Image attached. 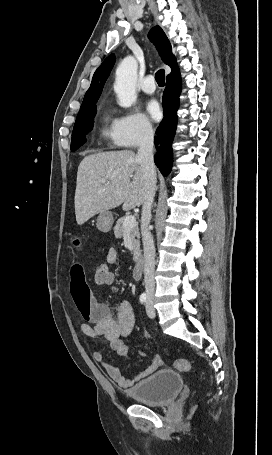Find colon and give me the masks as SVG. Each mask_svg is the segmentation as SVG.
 Masks as SVG:
<instances>
[{
	"label": "colon",
	"mask_w": 272,
	"mask_h": 455,
	"mask_svg": "<svg viewBox=\"0 0 272 455\" xmlns=\"http://www.w3.org/2000/svg\"><path fill=\"white\" fill-rule=\"evenodd\" d=\"M93 282L97 286L108 285L113 279L114 274L110 270L109 263L106 258L96 263L92 268ZM177 370L188 372L191 370V363L185 359H177L174 363Z\"/></svg>",
	"instance_id": "1"
}]
</instances>
